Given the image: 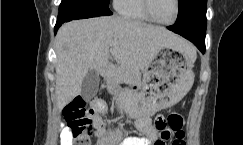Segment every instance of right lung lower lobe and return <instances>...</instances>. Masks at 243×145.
<instances>
[{"label": "right lung lower lobe", "mask_w": 243, "mask_h": 145, "mask_svg": "<svg viewBox=\"0 0 243 145\" xmlns=\"http://www.w3.org/2000/svg\"><path fill=\"white\" fill-rule=\"evenodd\" d=\"M111 14L112 12L109 7L103 6L93 0H62L54 32L56 34L64 22Z\"/></svg>", "instance_id": "obj_1"}]
</instances>
